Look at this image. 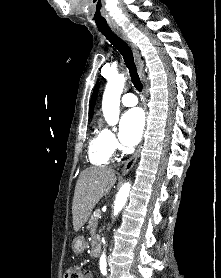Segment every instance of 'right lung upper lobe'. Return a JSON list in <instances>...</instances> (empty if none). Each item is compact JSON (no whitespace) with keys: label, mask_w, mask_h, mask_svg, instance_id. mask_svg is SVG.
<instances>
[{"label":"right lung upper lobe","mask_w":221,"mask_h":278,"mask_svg":"<svg viewBox=\"0 0 221 278\" xmlns=\"http://www.w3.org/2000/svg\"><path fill=\"white\" fill-rule=\"evenodd\" d=\"M98 88H99V83L96 84L92 97H91V101H90V107H89V116L92 117L93 116V112H94V105L96 103V97H97V92H98Z\"/></svg>","instance_id":"1"}]
</instances>
